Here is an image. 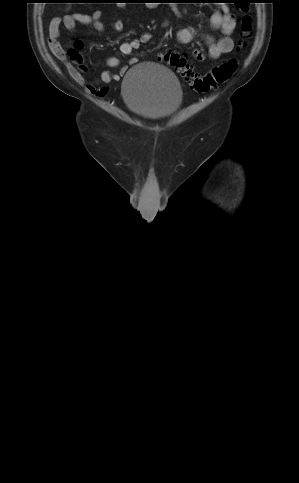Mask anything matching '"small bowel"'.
Here are the masks:
<instances>
[{
    "label": "small bowel",
    "mask_w": 299,
    "mask_h": 483,
    "mask_svg": "<svg viewBox=\"0 0 299 483\" xmlns=\"http://www.w3.org/2000/svg\"><path fill=\"white\" fill-rule=\"evenodd\" d=\"M173 11L180 15V11L177 7H173ZM103 12L100 10L94 11L91 15L82 13H73L64 16L63 18L55 17L51 20L49 25V37L48 45L51 52L59 60L66 63L70 70L71 64L67 60L66 51L62 47L59 38L61 35V25H64L68 30H75L78 24L90 25L97 31H103L105 24L102 21ZM211 26L221 31L222 36L215 41L212 37L206 36L208 55L211 59H218L222 55L229 54L233 51L234 41L231 37L236 28V22L234 17L228 13V7L224 4L220 6L212 13L210 18ZM111 28L116 32H121L124 28L122 21L117 20L111 24ZM196 33L190 28H180L176 33L177 40L182 44H189L195 38ZM153 38L152 33L145 32L139 38L132 39L130 41L122 42L119 46V50L123 55H130L132 52L140 48L143 44L149 43ZM192 55L197 60H204L205 55L198 49L192 51ZM139 62L138 58L131 57L129 59V65H134ZM106 64L109 67H118L120 60L117 57H109L106 60ZM127 66H122L117 74H114L108 70L103 71L96 80H87L81 75H73L74 78L86 85V89L97 96L103 97L108 91L107 86L99 87L98 85L103 83L107 84L111 81H118L127 71Z\"/></svg>",
    "instance_id": "1"
}]
</instances>
